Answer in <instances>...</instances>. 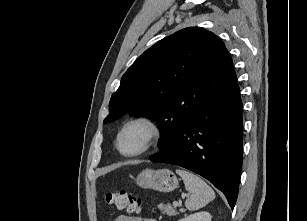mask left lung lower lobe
Segmentation results:
<instances>
[{
    "label": "left lung lower lobe",
    "mask_w": 307,
    "mask_h": 221,
    "mask_svg": "<svg viewBox=\"0 0 307 221\" xmlns=\"http://www.w3.org/2000/svg\"><path fill=\"white\" fill-rule=\"evenodd\" d=\"M242 110L235 74L150 161L178 165L201 175L225 194L233 209L242 165Z\"/></svg>",
    "instance_id": "left-lung-lower-lobe-1"
}]
</instances>
